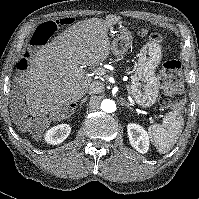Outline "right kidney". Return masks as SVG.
<instances>
[{
    "instance_id": "1",
    "label": "right kidney",
    "mask_w": 199,
    "mask_h": 199,
    "mask_svg": "<svg viewBox=\"0 0 199 199\" xmlns=\"http://www.w3.org/2000/svg\"><path fill=\"white\" fill-rule=\"evenodd\" d=\"M71 127L68 124H60L49 129L45 134V141L52 145L62 143L70 134Z\"/></svg>"
}]
</instances>
